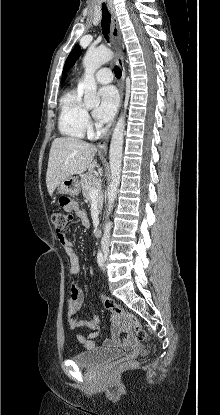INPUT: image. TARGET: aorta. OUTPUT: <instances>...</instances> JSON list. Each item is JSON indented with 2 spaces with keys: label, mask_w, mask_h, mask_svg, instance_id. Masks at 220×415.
Here are the masks:
<instances>
[{
  "label": "aorta",
  "mask_w": 220,
  "mask_h": 415,
  "mask_svg": "<svg viewBox=\"0 0 220 415\" xmlns=\"http://www.w3.org/2000/svg\"><path fill=\"white\" fill-rule=\"evenodd\" d=\"M112 58L113 53L108 48H90L86 52L83 59L85 73L84 80L82 82V87L84 89V103L86 106L93 107L99 105L100 97L97 94V85L94 78V73L99 67H101L104 63L110 61ZM124 128L125 120L121 115L113 130L109 149L111 181L107 189L108 215L113 209V204L116 199L118 187L120 184Z\"/></svg>",
  "instance_id": "762f6f07"
}]
</instances>
